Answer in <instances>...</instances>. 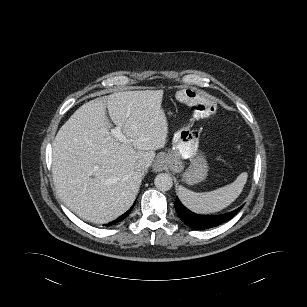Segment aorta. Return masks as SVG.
Returning <instances> with one entry per match:
<instances>
[{"mask_svg": "<svg viewBox=\"0 0 307 307\" xmlns=\"http://www.w3.org/2000/svg\"><path fill=\"white\" fill-rule=\"evenodd\" d=\"M154 184L160 191H168L173 186V180L167 173H160L155 177Z\"/></svg>", "mask_w": 307, "mask_h": 307, "instance_id": "obj_1", "label": "aorta"}]
</instances>
